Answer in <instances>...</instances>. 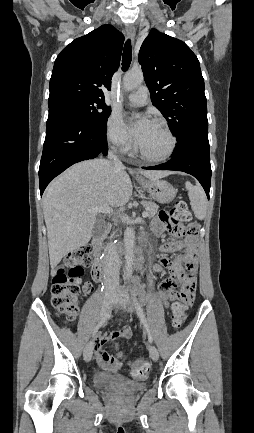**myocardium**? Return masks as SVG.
I'll use <instances>...</instances> for the list:
<instances>
[{
  "label": "myocardium",
  "mask_w": 254,
  "mask_h": 433,
  "mask_svg": "<svg viewBox=\"0 0 254 433\" xmlns=\"http://www.w3.org/2000/svg\"><path fill=\"white\" fill-rule=\"evenodd\" d=\"M153 122L160 125L164 129L166 134L168 135V137L170 139V146H169L168 150L166 151V153H164L163 155L158 156V157H153V156L146 154L140 148L138 143L136 144V150L139 153V155L144 160H146L148 162H154V163L164 162V161L168 160L174 154L176 147H177V139H176L174 133L172 132V130L170 129V127L166 121H164L163 119L156 118L153 120Z\"/></svg>",
  "instance_id": "1"
}]
</instances>
